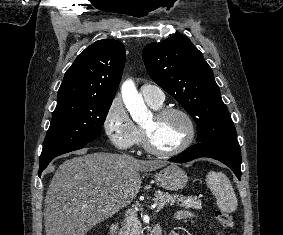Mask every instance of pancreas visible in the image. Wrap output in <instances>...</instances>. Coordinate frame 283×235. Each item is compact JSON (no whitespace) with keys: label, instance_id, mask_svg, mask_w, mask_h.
<instances>
[{"label":"pancreas","instance_id":"pancreas-1","mask_svg":"<svg viewBox=\"0 0 283 235\" xmlns=\"http://www.w3.org/2000/svg\"><path fill=\"white\" fill-rule=\"evenodd\" d=\"M157 203H164L165 205H174L177 203L180 207L186 209H201V201L193 197H184L182 195H170L168 193H157L153 199ZM181 202V203H179ZM141 225L138 221L137 214L128 215L121 228V235H140Z\"/></svg>","mask_w":283,"mask_h":235}]
</instances>
